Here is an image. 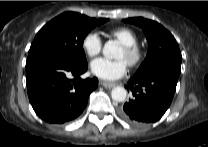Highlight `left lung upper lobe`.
Wrapping results in <instances>:
<instances>
[{
    "label": "left lung upper lobe",
    "instance_id": "1",
    "mask_svg": "<svg viewBox=\"0 0 208 147\" xmlns=\"http://www.w3.org/2000/svg\"><path fill=\"white\" fill-rule=\"evenodd\" d=\"M123 21L141 27L148 41L146 59L135 73V77L156 70H169L180 75L181 52L175 38L168 30L161 24L142 17L128 18Z\"/></svg>",
    "mask_w": 208,
    "mask_h": 147
}]
</instances>
